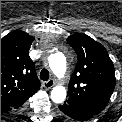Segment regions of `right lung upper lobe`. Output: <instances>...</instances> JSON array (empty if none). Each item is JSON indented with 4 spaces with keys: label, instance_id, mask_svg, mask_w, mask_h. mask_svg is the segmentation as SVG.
<instances>
[{
    "label": "right lung upper lobe",
    "instance_id": "obj_1",
    "mask_svg": "<svg viewBox=\"0 0 122 122\" xmlns=\"http://www.w3.org/2000/svg\"><path fill=\"white\" fill-rule=\"evenodd\" d=\"M34 37L15 30L1 39V110L17 109L40 89L28 51Z\"/></svg>",
    "mask_w": 122,
    "mask_h": 122
}]
</instances>
